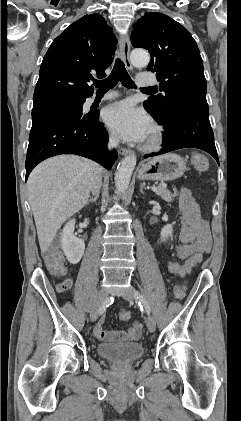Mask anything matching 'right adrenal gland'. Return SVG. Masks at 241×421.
<instances>
[{
    "instance_id": "2a0ac1e0",
    "label": "right adrenal gland",
    "mask_w": 241,
    "mask_h": 421,
    "mask_svg": "<svg viewBox=\"0 0 241 421\" xmlns=\"http://www.w3.org/2000/svg\"><path fill=\"white\" fill-rule=\"evenodd\" d=\"M98 197H99V194H97V195H95L93 198H90L88 201H87V205L91 202V203H93V202H96L97 201V199H98Z\"/></svg>"
}]
</instances>
